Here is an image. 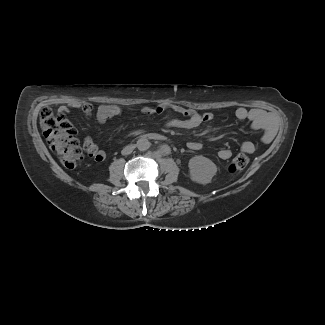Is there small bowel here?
<instances>
[{
    "mask_svg": "<svg viewBox=\"0 0 325 325\" xmlns=\"http://www.w3.org/2000/svg\"><path fill=\"white\" fill-rule=\"evenodd\" d=\"M71 109H80L85 115L91 116L93 112V107L88 102H74L69 106H62L56 112L55 120L58 124L64 128V130L77 136L80 130L75 126V123L69 118V111ZM165 111H172L174 113L182 115L184 118H170L165 121V126L168 128L175 129H194L203 123L210 122L213 119L212 113H200L194 109L187 108L178 104L171 103H161L155 108L144 107L143 113L146 115L160 114ZM121 110L116 105H101L96 111V118L98 122L105 123L107 120L118 116ZM235 116L239 120H249L254 129L261 130L263 132L262 141L268 142L272 139L275 133V127L273 124V118L261 109H247L246 107H238L235 110ZM84 148L92 159L98 162L104 161L108 153L94 143L91 137H85L83 141ZM187 147L190 150H200L202 145L197 140H191L187 143ZM242 152L252 154L257 150V145L253 142L246 141L240 146ZM232 156V152L229 149H222L219 151V157L223 160H227Z\"/></svg>",
    "mask_w": 325,
    "mask_h": 325,
    "instance_id": "1",
    "label": "small bowel"
}]
</instances>
